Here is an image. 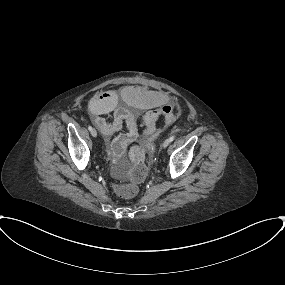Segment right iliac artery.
<instances>
[{
    "label": "right iliac artery",
    "instance_id": "right-iliac-artery-1",
    "mask_svg": "<svg viewBox=\"0 0 285 285\" xmlns=\"http://www.w3.org/2000/svg\"><path fill=\"white\" fill-rule=\"evenodd\" d=\"M88 130L91 131V130H92V127H91V126H88Z\"/></svg>",
    "mask_w": 285,
    "mask_h": 285
}]
</instances>
